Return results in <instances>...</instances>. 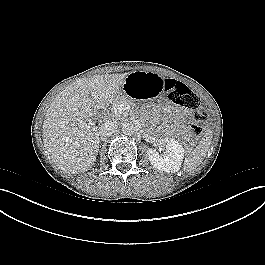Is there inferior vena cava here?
<instances>
[{"mask_svg": "<svg viewBox=\"0 0 265 265\" xmlns=\"http://www.w3.org/2000/svg\"><path fill=\"white\" fill-rule=\"evenodd\" d=\"M118 129V126L116 124V122L114 121H107L105 123H103L100 127H99V135L103 136V137H107V136H111L113 133H115Z\"/></svg>", "mask_w": 265, "mask_h": 265, "instance_id": "obj_1", "label": "inferior vena cava"}]
</instances>
